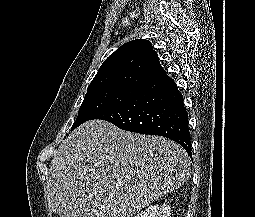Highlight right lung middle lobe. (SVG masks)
<instances>
[{"label": "right lung middle lobe", "mask_w": 255, "mask_h": 217, "mask_svg": "<svg viewBox=\"0 0 255 217\" xmlns=\"http://www.w3.org/2000/svg\"><path fill=\"white\" fill-rule=\"evenodd\" d=\"M144 89L145 86L140 85H110L88 90L72 130L95 116L122 105Z\"/></svg>", "instance_id": "right-lung-middle-lobe-1"}]
</instances>
